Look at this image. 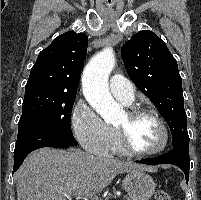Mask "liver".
Here are the masks:
<instances>
[{
    "instance_id": "1",
    "label": "liver",
    "mask_w": 201,
    "mask_h": 200,
    "mask_svg": "<svg viewBox=\"0 0 201 200\" xmlns=\"http://www.w3.org/2000/svg\"><path fill=\"white\" fill-rule=\"evenodd\" d=\"M150 168L95 157L79 149L44 147L29 154L16 173L17 200H66L88 190L98 193L117 174Z\"/></svg>"
}]
</instances>
